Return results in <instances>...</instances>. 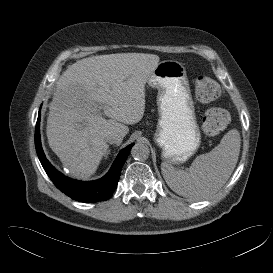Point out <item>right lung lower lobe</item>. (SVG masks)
<instances>
[{
    "label": "right lung lower lobe",
    "mask_w": 273,
    "mask_h": 273,
    "mask_svg": "<svg viewBox=\"0 0 273 273\" xmlns=\"http://www.w3.org/2000/svg\"><path fill=\"white\" fill-rule=\"evenodd\" d=\"M39 127L40 113L35 129L36 152L44 170L55 186L64 194L77 201L92 203L107 200L118 184L121 167L127 159L133 144L127 146L119 153L110 171L103 178L96 181H77L64 176L46 159L41 146Z\"/></svg>",
    "instance_id": "right-lung-lower-lobe-1"
}]
</instances>
